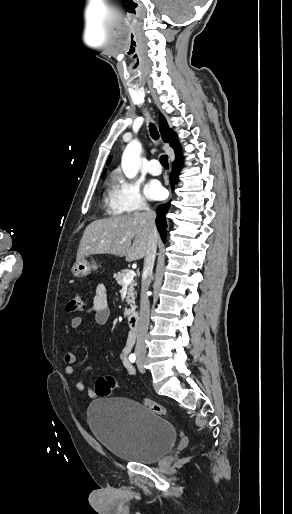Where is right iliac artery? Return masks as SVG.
Listing matches in <instances>:
<instances>
[{"mask_svg":"<svg viewBox=\"0 0 292 514\" xmlns=\"http://www.w3.org/2000/svg\"><path fill=\"white\" fill-rule=\"evenodd\" d=\"M129 360H130V362H132V363H133V362H135V360H136V356H135V354H130V356H129Z\"/></svg>","mask_w":292,"mask_h":514,"instance_id":"obj_1","label":"right iliac artery"}]
</instances>
